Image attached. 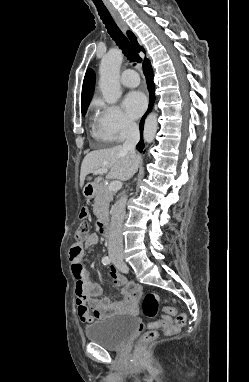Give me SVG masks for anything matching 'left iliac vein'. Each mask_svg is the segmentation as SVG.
Returning <instances> with one entry per match:
<instances>
[{"instance_id":"obj_1","label":"left iliac vein","mask_w":249,"mask_h":382,"mask_svg":"<svg viewBox=\"0 0 249 382\" xmlns=\"http://www.w3.org/2000/svg\"><path fill=\"white\" fill-rule=\"evenodd\" d=\"M114 265L116 266L117 269H119L123 273L128 272V267L127 265L121 260L119 262H114Z\"/></svg>"}]
</instances>
